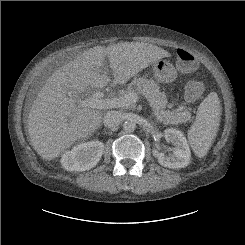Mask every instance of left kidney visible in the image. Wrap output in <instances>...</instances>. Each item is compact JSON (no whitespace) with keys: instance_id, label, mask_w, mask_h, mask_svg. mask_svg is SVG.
<instances>
[{"instance_id":"5707ae66","label":"left kidney","mask_w":245,"mask_h":245,"mask_svg":"<svg viewBox=\"0 0 245 245\" xmlns=\"http://www.w3.org/2000/svg\"><path fill=\"white\" fill-rule=\"evenodd\" d=\"M164 136L167 142H171L175 146L173 152L167 156L154 149L152 151L154 157L164 167L173 169L186 167L190 162L191 152L184 134L177 129L168 128L164 131Z\"/></svg>"}]
</instances>
